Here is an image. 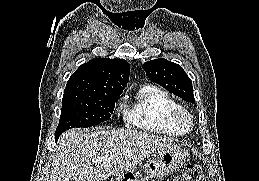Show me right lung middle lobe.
Returning <instances> with one entry per match:
<instances>
[{
	"mask_svg": "<svg viewBox=\"0 0 259 181\" xmlns=\"http://www.w3.org/2000/svg\"><path fill=\"white\" fill-rule=\"evenodd\" d=\"M120 95L92 92H65L55 137L74 127H90L108 120Z\"/></svg>",
	"mask_w": 259,
	"mask_h": 181,
	"instance_id": "obj_1",
	"label": "right lung middle lobe"
}]
</instances>
